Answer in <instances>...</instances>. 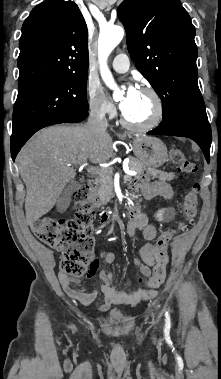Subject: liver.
Segmentation results:
<instances>
[{
    "mask_svg": "<svg viewBox=\"0 0 221 379\" xmlns=\"http://www.w3.org/2000/svg\"><path fill=\"white\" fill-rule=\"evenodd\" d=\"M113 152L111 135L85 126L45 128L21 149L17 163L26 185L25 211L29 225L47 214L76 175L74 166L89 159L104 163Z\"/></svg>",
    "mask_w": 221,
    "mask_h": 379,
    "instance_id": "liver-1",
    "label": "liver"
}]
</instances>
